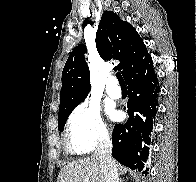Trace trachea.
Listing matches in <instances>:
<instances>
[{
	"mask_svg": "<svg viewBox=\"0 0 196 182\" xmlns=\"http://www.w3.org/2000/svg\"><path fill=\"white\" fill-rule=\"evenodd\" d=\"M116 77H117L120 85H125L124 79H123L122 74L120 72L116 73Z\"/></svg>",
	"mask_w": 196,
	"mask_h": 182,
	"instance_id": "1",
	"label": "trachea"
}]
</instances>
